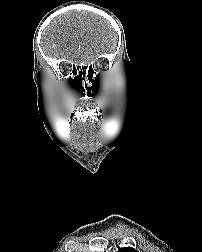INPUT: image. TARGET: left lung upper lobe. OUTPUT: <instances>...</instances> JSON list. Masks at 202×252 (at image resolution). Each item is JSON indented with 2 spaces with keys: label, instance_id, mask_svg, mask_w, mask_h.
<instances>
[{
  "label": "left lung upper lobe",
  "instance_id": "1",
  "mask_svg": "<svg viewBox=\"0 0 202 252\" xmlns=\"http://www.w3.org/2000/svg\"><path fill=\"white\" fill-rule=\"evenodd\" d=\"M118 252H138V251H136L134 248H131V247H125L118 250Z\"/></svg>",
  "mask_w": 202,
  "mask_h": 252
}]
</instances>
